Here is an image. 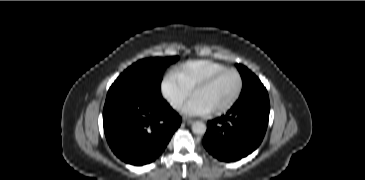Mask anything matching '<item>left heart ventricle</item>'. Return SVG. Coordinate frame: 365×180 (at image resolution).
Here are the masks:
<instances>
[{
  "mask_svg": "<svg viewBox=\"0 0 365 180\" xmlns=\"http://www.w3.org/2000/svg\"><path fill=\"white\" fill-rule=\"evenodd\" d=\"M238 85V76L229 72L197 93L194 98L210 111L228 103L235 95Z\"/></svg>",
  "mask_w": 365,
  "mask_h": 180,
  "instance_id": "1",
  "label": "left heart ventricle"
}]
</instances>
